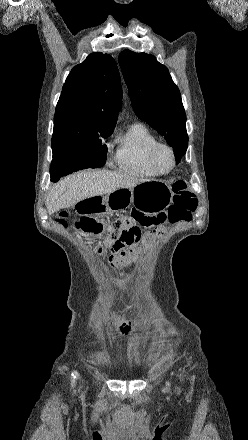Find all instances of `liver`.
Instances as JSON below:
<instances>
[{"label": "liver", "mask_w": 248, "mask_h": 440, "mask_svg": "<svg viewBox=\"0 0 248 440\" xmlns=\"http://www.w3.org/2000/svg\"><path fill=\"white\" fill-rule=\"evenodd\" d=\"M148 180L107 170L81 171L60 180L50 191L46 207L49 214L76 205L85 199L132 188Z\"/></svg>", "instance_id": "1"}]
</instances>
